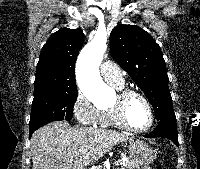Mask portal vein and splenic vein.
I'll return each instance as SVG.
<instances>
[{"label":"portal vein and splenic vein","mask_w":200,"mask_h":169,"mask_svg":"<svg viewBox=\"0 0 200 169\" xmlns=\"http://www.w3.org/2000/svg\"><path fill=\"white\" fill-rule=\"evenodd\" d=\"M114 165H115V166H119V165H120V161H115V162H114Z\"/></svg>","instance_id":"1"}]
</instances>
